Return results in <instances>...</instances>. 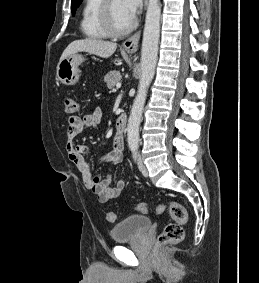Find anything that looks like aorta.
Returning a JSON list of instances; mask_svg holds the SVG:
<instances>
[{"label":"aorta","instance_id":"762f6f07","mask_svg":"<svg viewBox=\"0 0 259 283\" xmlns=\"http://www.w3.org/2000/svg\"><path fill=\"white\" fill-rule=\"evenodd\" d=\"M160 16L161 5L159 0H149L141 49V78L127 126L129 146H137L139 142V126L142 118V110L146 101L147 90L153 80L157 64Z\"/></svg>","mask_w":259,"mask_h":283}]
</instances>
